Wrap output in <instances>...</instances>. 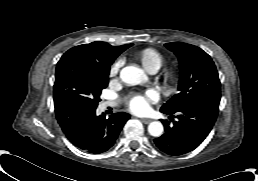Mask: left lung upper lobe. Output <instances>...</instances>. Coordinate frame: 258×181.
Wrapping results in <instances>:
<instances>
[{
	"label": "left lung upper lobe",
	"instance_id": "left-lung-upper-lobe-1",
	"mask_svg": "<svg viewBox=\"0 0 258 181\" xmlns=\"http://www.w3.org/2000/svg\"><path fill=\"white\" fill-rule=\"evenodd\" d=\"M165 46L176 54L180 62V92L165 103L161 111L175 113L198 104L219 105L220 81L211 57L199 47L182 42Z\"/></svg>",
	"mask_w": 258,
	"mask_h": 181
}]
</instances>
